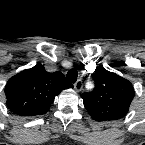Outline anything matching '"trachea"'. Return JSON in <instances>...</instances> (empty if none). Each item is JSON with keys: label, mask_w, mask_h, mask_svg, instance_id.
<instances>
[{"label": "trachea", "mask_w": 145, "mask_h": 145, "mask_svg": "<svg viewBox=\"0 0 145 145\" xmlns=\"http://www.w3.org/2000/svg\"><path fill=\"white\" fill-rule=\"evenodd\" d=\"M77 77H78V73L75 69L69 70L67 75H66L67 80L71 83L76 82Z\"/></svg>", "instance_id": "1"}]
</instances>
